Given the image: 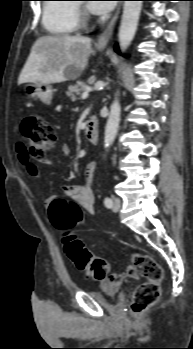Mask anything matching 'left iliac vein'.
I'll return each mask as SVG.
<instances>
[{
  "label": "left iliac vein",
  "mask_w": 193,
  "mask_h": 349,
  "mask_svg": "<svg viewBox=\"0 0 193 349\" xmlns=\"http://www.w3.org/2000/svg\"><path fill=\"white\" fill-rule=\"evenodd\" d=\"M121 207V201L119 198L114 197L113 198V204H112V210L117 212Z\"/></svg>",
  "instance_id": "4c4485c4"
}]
</instances>
